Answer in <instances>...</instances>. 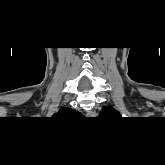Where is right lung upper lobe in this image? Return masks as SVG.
Listing matches in <instances>:
<instances>
[{
    "mask_svg": "<svg viewBox=\"0 0 165 165\" xmlns=\"http://www.w3.org/2000/svg\"><path fill=\"white\" fill-rule=\"evenodd\" d=\"M74 110L68 108H61L53 117H68L74 114Z\"/></svg>",
    "mask_w": 165,
    "mask_h": 165,
    "instance_id": "obj_1",
    "label": "right lung upper lobe"
}]
</instances>
